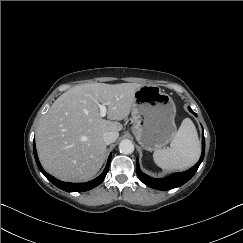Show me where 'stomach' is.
I'll return each instance as SVG.
<instances>
[{"mask_svg":"<svg viewBox=\"0 0 243 243\" xmlns=\"http://www.w3.org/2000/svg\"><path fill=\"white\" fill-rule=\"evenodd\" d=\"M176 106L159 86L142 85L134 93L132 133L147 151L166 146L176 134Z\"/></svg>","mask_w":243,"mask_h":243,"instance_id":"0dacf381","label":"stomach"}]
</instances>
